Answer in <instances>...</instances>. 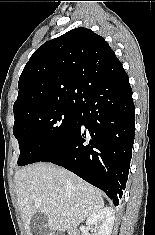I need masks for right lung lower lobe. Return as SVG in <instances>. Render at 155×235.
<instances>
[{
    "label": "right lung lower lobe",
    "mask_w": 155,
    "mask_h": 235,
    "mask_svg": "<svg viewBox=\"0 0 155 235\" xmlns=\"http://www.w3.org/2000/svg\"><path fill=\"white\" fill-rule=\"evenodd\" d=\"M77 107L74 133L41 161L70 170L118 205L128 178L135 128V107L126 72L92 87Z\"/></svg>",
    "instance_id": "right-lung-lower-lobe-1"
}]
</instances>
